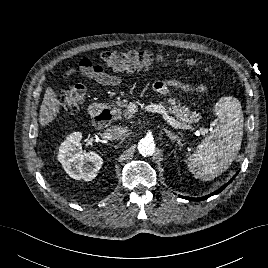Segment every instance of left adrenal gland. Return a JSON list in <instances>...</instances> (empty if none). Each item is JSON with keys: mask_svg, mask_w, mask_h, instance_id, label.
Listing matches in <instances>:
<instances>
[{"mask_svg": "<svg viewBox=\"0 0 268 268\" xmlns=\"http://www.w3.org/2000/svg\"><path fill=\"white\" fill-rule=\"evenodd\" d=\"M164 132L166 133V135L174 142V141H177V143L180 145V139L179 137L172 133L170 130H167V129H164Z\"/></svg>", "mask_w": 268, "mask_h": 268, "instance_id": "left-adrenal-gland-1", "label": "left adrenal gland"}]
</instances>
